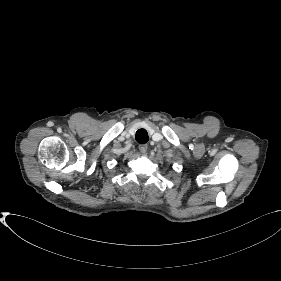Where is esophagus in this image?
I'll return each mask as SVG.
<instances>
[{"label": "esophagus", "instance_id": "1", "mask_svg": "<svg viewBox=\"0 0 281 281\" xmlns=\"http://www.w3.org/2000/svg\"><path fill=\"white\" fill-rule=\"evenodd\" d=\"M148 145L147 144H141L139 145V150L142 154H145L147 152Z\"/></svg>", "mask_w": 281, "mask_h": 281}]
</instances>
